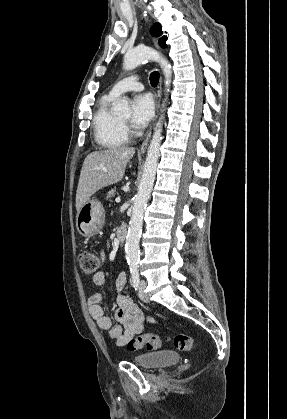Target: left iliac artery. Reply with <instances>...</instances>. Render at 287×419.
Here are the masks:
<instances>
[{"label": "left iliac artery", "instance_id": "1", "mask_svg": "<svg viewBox=\"0 0 287 419\" xmlns=\"http://www.w3.org/2000/svg\"><path fill=\"white\" fill-rule=\"evenodd\" d=\"M132 285L137 290L140 283V276L138 270H131Z\"/></svg>", "mask_w": 287, "mask_h": 419}]
</instances>
